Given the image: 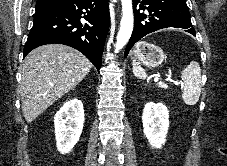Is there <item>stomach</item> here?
<instances>
[{
	"instance_id": "obj_1",
	"label": "stomach",
	"mask_w": 227,
	"mask_h": 166,
	"mask_svg": "<svg viewBox=\"0 0 227 166\" xmlns=\"http://www.w3.org/2000/svg\"><path fill=\"white\" fill-rule=\"evenodd\" d=\"M133 56L139 64L147 67H157L163 62L165 55L163 50L157 45L141 41L136 44Z\"/></svg>"
}]
</instances>
